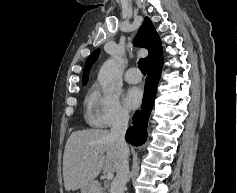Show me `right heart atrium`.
<instances>
[{
  "label": "right heart atrium",
  "instance_id": "obj_1",
  "mask_svg": "<svg viewBox=\"0 0 237 193\" xmlns=\"http://www.w3.org/2000/svg\"><path fill=\"white\" fill-rule=\"evenodd\" d=\"M90 121L99 127H111L128 122L129 112L114 89L95 85L88 97Z\"/></svg>",
  "mask_w": 237,
  "mask_h": 193
}]
</instances>
